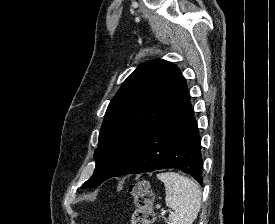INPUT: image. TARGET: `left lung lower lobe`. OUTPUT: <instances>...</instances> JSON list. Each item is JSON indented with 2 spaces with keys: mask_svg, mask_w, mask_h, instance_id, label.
<instances>
[{
  "mask_svg": "<svg viewBox=\"0 0 275 224\" xmlns=\"http://www.w3.org/2000/svg\"><path fill=\"white\" fill-rule=\"evenodd\" d=\"M202 167L201 140L187 92L160 121L126 173L177 168L202 185Z\"/></svg>",
  "mask_w": 275,
  "mask_h": 224,
  "instance_id": "1",
  "label": "left lung lower lobe"
}]
</instances>
